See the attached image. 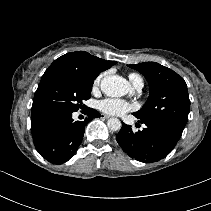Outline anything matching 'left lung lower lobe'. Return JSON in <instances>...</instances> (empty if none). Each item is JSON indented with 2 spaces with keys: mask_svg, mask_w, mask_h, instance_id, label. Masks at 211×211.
<instances>
[{
  "mask_svg": "<svg viewBox=\"0 0 211 211\" xmlns=\"http://www.w3.org/2000/svg\"><path fill=\"white\" fill-rule=\"evenodd\" d=\"M146 128L134 133L131 126L122 123L116 135L120 147L132 158L144 163H152L165 158L176 146L182 132L164 122L139 120Z\"/></svg>",
  "mask_w": 211,
  "mask_h": 211,
  "instance_id": "obj_1",
  "label": "left lung lower lobe"
}]
</instances>
